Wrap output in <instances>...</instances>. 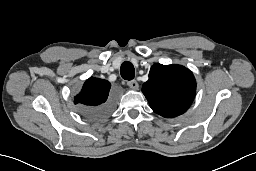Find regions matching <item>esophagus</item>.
<instances>
[{"label":"esophagus","mask_w":256,"mask_h":171,"mask_svg":"<svg viewBox=\"0 0 256 171\" xmlns=\"http://www.w3.org/2000/svg\"><path fill=\"white\" fill-rule=\"evenodd\" d=\"M127 85L134 90H137L139 88V84L135 80L129 81Z\"/></svg>","instance_id":"34e87169"}]
</instances>
